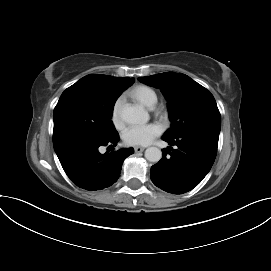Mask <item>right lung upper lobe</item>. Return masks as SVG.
<instances>
[{
  "instance_id": "1",
  "label": "right lung upper lobe",
  "mask_w": 271,
  "mask_h": 271,
  "mask_svg": "<svg viewBox=\"0 0 271 271\" xmlns=\"http://www.w3.org/2000/svg\"><path fill=\"white\" fill-rule=\"evenodd\" d=\"M90 84L107 90L123 92L134 82V78L129 77H112L108 75L91 74L82 78Z\"/></svg>"
}]
</instances>
